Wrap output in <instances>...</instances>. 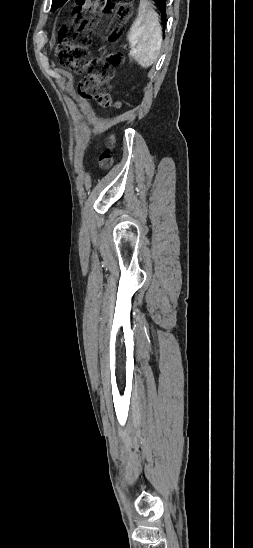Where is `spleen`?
I'll list each match as a JSON object with an SVG mask.
<instances>
[{"label":"spleen","instance_id":"obj_1","mask_svg":"<svg viewBox=\"0 0 253 548\" xmlns=\"http://www.w3.org/2000/svg\"><path fill=\"white\" fill-rule=\"evenodd\" d=\"M128 41L133 46L130 56L141 67L148 68L157 60L162 44V28L158 14L147 0H140L138 16L128 33Z\"/></svg>","mask_w":253,"mask_h":548}]
</instances>
